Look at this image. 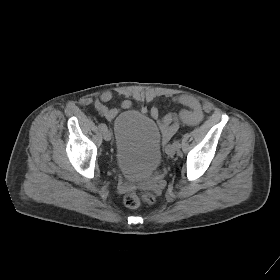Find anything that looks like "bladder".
Returning <instances> with one entry per match:
<instances>
[{
  "label": "bladder",
  "mask_w": 280,
  "mask_h": 280,
  "mask_svg": "<svg viewBox=\"0 0 280 280\" xmlns=\"http://www.w3.org/2000/svg\"><path fill=\"white\" fill-rule=\"evenodd\" d=\"M114 149L117 167L124 175H151L161 163L158 124L135 110L121 113L114 121Z\"/></svg>",
  "instance_id": "obj_1"
}]
</instances>
